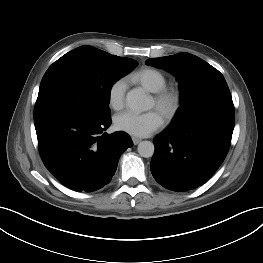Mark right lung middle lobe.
Instances as JSON below:
<instances>
[{
    "instance_id": "right-lung-middle-lobe-1",
    "label": "right lung middle lobe",
    "mask_w": 263,
    "mask_h": 263,
    "mask_svg": "<svg viewBox=\"0 0 263 263\" xmlns=\"http://www.w3.org/2000/svg\"><path fill=\"white\" fill-rule=\"evenodd\" d=\"M137 65L133 59L91 46L66 53L48 68L41 81L34 120L56 113L111 117V87Z\"/></svg>"
}]
</instances>
